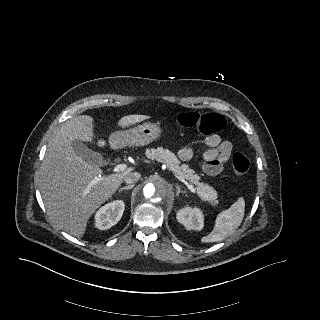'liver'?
<instances>
[{
    "label": "liver",
    "mask_w": 320,
    "mask_h": 320,
    "mask_svg": "<svg viewBox=\"0 0 320 320\" xmlns=\"http://www.w3.org/2000/svg\"><path fill=\"white\" fill-rule=\"evenodd\" d=\"M146 115L122 117L117 125L129 127L149 119ZM94 118L75 116L66 121L51 139L40 176V191L46 211L57 226L75 237L85 234L88 219L120 187L133 167L120 173L102 175L96 165L79 157L72 142H94Z\"/></svg>",
    "instance_id": "obj_1"
}]
</instances>
